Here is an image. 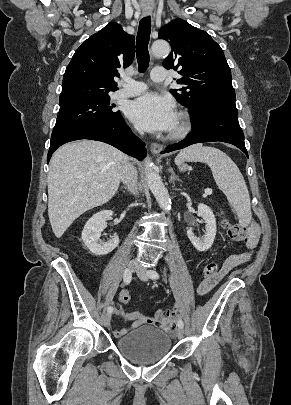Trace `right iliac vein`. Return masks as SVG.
Instances as JSON below:
<instances>
[{
  "mask_svg": "<svg viewBox=\"0 0 291 405\" xmlns=\"http://www.w3.org/2000/svg\"><path fill=\"white\" fill-rule=\"evenodd\" d=\"M137 268H138V263H137L135 260H131V261L128 263V269H129V271L134 272V271L137 270ZM110 320H111V314H110V313H107V314H105V315L103 316V323H104L105 326H109V325H110Z\"/></svg>",
  "mask_w": 291,
  "mask_h": 405,
  "instance_id": "obj_1",
  "label": "right iliac vein"
}]
</instances>
